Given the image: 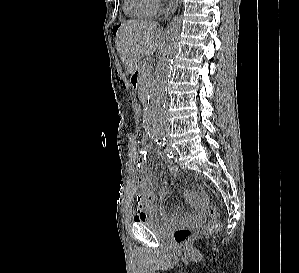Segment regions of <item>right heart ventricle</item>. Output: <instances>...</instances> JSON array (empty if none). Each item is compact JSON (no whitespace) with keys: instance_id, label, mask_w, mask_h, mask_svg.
Wrapping results in <instances>:
<instances>
[{"instance_id":"1","label":"right heart ventricle","mask_w":299,"mask_h":273,"mask_svg":"<svg viewBox=\"0 0 299 273\" xmlns=\"http://www.w3.org/2000/svg\"><path fill=\"white\" fill-rule=\"evenodd\" d=\"M124 11L134 18H149L154 14L145 0H124Z\"/></svg>"}]
</instances>
